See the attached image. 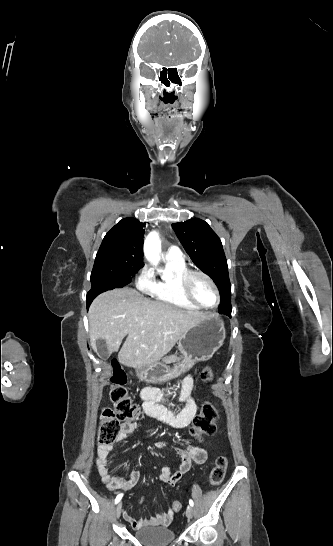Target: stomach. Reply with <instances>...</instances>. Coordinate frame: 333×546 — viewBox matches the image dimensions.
<instances>
[{
    "label": "stomach",
    "mask_w": 333,
    "mask_h": 546,
    "mask_svg": "<svg viewBox=\"0 0 333 546\" xmlns=\"http://www.w3.org/2000/svg\"><path fill=\"white\" fill-rule=\"evenodd\" d=\"M224 322L218 315L209 314L196 323L179 339L178 347L182 360L173 367L165 362H156L136 368L137 377L148 383H163L180 376L194 364L207 361L223 345L225 340Z\"/></svg>",
    "instance_id": "1"
}]
</instances>
